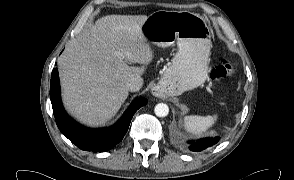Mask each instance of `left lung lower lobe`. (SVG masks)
<instances>
[{
  "label": "left lung lower lobe",
  "mask_w": 294,
  "mask_h": 180,
  "mask_svg": "<svg viewBox=\"0 0 294 180\" xmlns=\"http://www.w3.org/2000/svg\"><path fill=\"white\" fill-rule=\"evenodd\" d=\"M218 141L219 137L201 139L196 142H191L189 149L194 152H200L210 146L215 145Z\"/></svg>",
  "instance_id": "0a47b994"
}]
</instances>
